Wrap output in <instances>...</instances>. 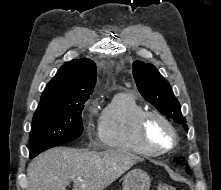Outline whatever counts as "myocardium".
Wrapping results in <instances>:
<instances>
[{
	"mask_svg": "<svg viewBox=\"0 0 221 190\" xmlns=\"http://www.w3.org/2000/svg\"><path fill=\"white\" fill-rule=\"evenodd\" d=\"M153 118L160 120L170 132L172 140L169 146L158 148L149 141L147 133H146V129H147L148 122L150 121V119H153ZM137 134H138V138L140 142L153 155H159V154L169 152L178 145V140H179L178 134L174 126L172 125V123L166 116H164L162 113L155 111V110H147V111H144L140 115L137 121Z\"/></svg>",
	"mask_w": 221,
	"mask_h": 190,
	"instance_id": "myocardium-1",
	"label": "myocardium"
}]
</instances>
